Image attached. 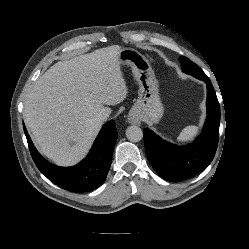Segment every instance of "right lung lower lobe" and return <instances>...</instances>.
Wrapping results in <instances>:
<instances>
[{"instance_id":"obj_1","label":"right lung lower lobe","mask_w":249,"mask_h":249,"mask_svg":"<svg viewBox=\"0 0 249 249\" xmlns=\"http://www.w3.org/2000/svg\"><path fill=\"white\" fill-rule=\"evenodd\" d=\"M23 127L36 166L54 184L72 192L92 191L103 184L118 135L114 121L104 125L86 158L71 167H59L45 160L34 147L25 125Z\"/></svg>"}]
</instances>
